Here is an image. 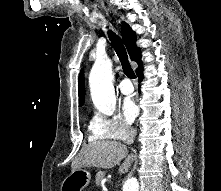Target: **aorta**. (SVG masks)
Wrapping results in <instances>:
<instances>
[{"label":"aorta","instance_id":"1","mask_svg":"<svg viewBox=\"0 0 221 191\" xmlns=\"http://www.w3.org/2000/svg\"><path fill=\"white\" fill-rule=\"evenodd\" d=\"M90 92L95 107L105 115H112L116 108V98L112 84V63L107 57L97 58L89 76ZM122 191H139L138 180L129 178Z\"/></svg>","mask_w":221,"mask_h":191}]
</instances>
